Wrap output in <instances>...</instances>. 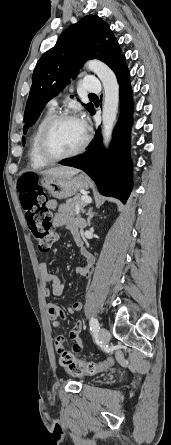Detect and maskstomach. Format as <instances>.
<instances>
[{
	"label": "stomach",
	"mask_w": 171,
	"mask_h": 445,
	"mask_svg": "<svg viewBox=\"0 0 171 445\" xmlns=\"http://www.w3.org/2000/svg\"><path fill=\"white\" fill-rule=\"evenodd\" d=\"M41 185L54 198L66 199L76 195L80 190H87L89 181L84 175L70 177L43 175Z\"/></svg>",
	"instance_id": "1"
}]
</instances>
